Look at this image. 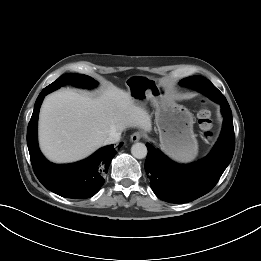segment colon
Listing matches in <instances>:
<instances>
[{"label":"colon","mask_w":261,"mask_h":261,"mask_svg":"<svg viewBox=\"0 0 261 261\" xmlns=\"http://www.w3.org/2000/svg\"><path fill=\"white\" fill-rule=\"evenodd\" d=\"M198 123L203 131V135L206 138H209L212 135V126H213V119H212V113L210 109L207 106H202V108L199 110L198 114Z\"/></svg>","instance_id":"5ec220e1"}]
</instances>
